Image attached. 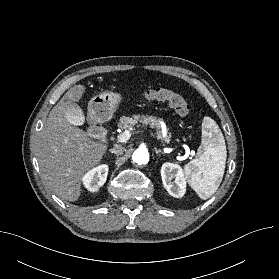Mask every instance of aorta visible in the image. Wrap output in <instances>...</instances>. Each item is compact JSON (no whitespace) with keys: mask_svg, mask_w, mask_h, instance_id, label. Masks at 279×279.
I'll return each instance as SVG.
<instances>
[{"mask_svg":"<svg viewBox=\"0 0 279 279\" xmlns=\"http://www.w3.org/2000/svg\"><path fill=\"white\" fill-rule=\"evenodd\" d=\"M132 160L138 165L147 164L149 161V152L146 148L140 147L133 153Z\"/></svg>","mask_w":279,"mask_h":279,"instance_id":"obj_1","label":"aorta"}]
</instances>
